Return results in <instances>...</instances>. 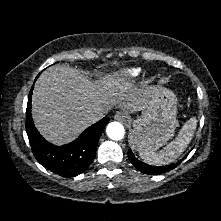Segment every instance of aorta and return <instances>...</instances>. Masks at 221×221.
Wrapping results in <instances>:
<instances>
[{
	"label": "aorta",
	"instance_id": "aorta-1",
	"mask_svg": "<svg viewBox=\"0 0 221 221\" xmlns=\"http://www.w3.org/2000/svg\"><path fill=\"white\" fill-rule=\"evenodd\" d=\"M106 133L112 140H121L124 138L125 129L119 122H111L107 125Z\"/></svg>",
	"mask_w": 221,
	"mask_h": 221
}]
</instances>
